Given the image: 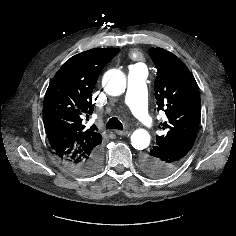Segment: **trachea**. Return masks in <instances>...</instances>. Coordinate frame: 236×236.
<instances>
[{"instance_id":"obj_1","label":"trachea","mask_w":236,"mask_h":236,"mask_svg":"<svg viewBox=\"0 0 236 236\" xmlns=\"http://www.w3.org/2000/svg\"><path fill=\"white\" fill-rule=\"evenodd\" d=\"M106 128L123 130V124L118 120V118L113 117L107 122Z\"/></svg>"}]
</instances>
